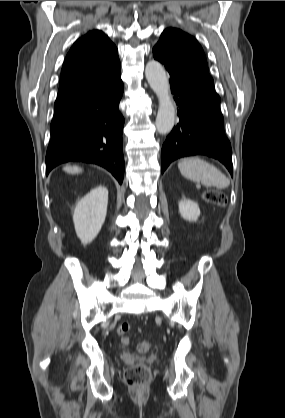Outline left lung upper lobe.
<instances>
[{"instance_id": "1", "label": "left lung upper lobe", "mask_w": 285, "mask_h": 418, "mask_svg": "<svg viewBox=\"0 0 285 418\" xmlns=\"http://www.w3.org/2000/svg\"><path fill=\"white\" fill-rule=\"evenodd\" d=\"M160 40L172 43L178 50L208 71V64L203 49L191 35L177 28H167L161 34Z\"/></svg>"}]
</instances>
